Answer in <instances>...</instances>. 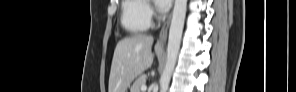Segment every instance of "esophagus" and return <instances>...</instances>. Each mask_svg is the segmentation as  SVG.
<instances>
[{"mask_svg":"<svg viewBox=\"0 0 296 92\" xmlns=\"http://www.w3.org/2000/svg\"><path fill=\"white\" fill-rule=\"evenodd\" d=\"M170 22H171V14L169 15L168 19L166 20V22L163 24L161 31L159 33V39L158 41L160 43H163L166 41L167 39V35H168V29L170 26Z\"/></svg>","mask_w":296,"mask_h":92,"instance_id":"34e87169","label":"esophagus"}]
</instances>
